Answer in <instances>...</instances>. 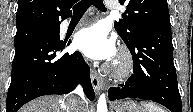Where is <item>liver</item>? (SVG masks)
<instances>
[{
  "mask_svg": "<svg viewBox=\"0 0 193 112\" xmlns=\"http://www.w3.org/2000/svg\"><path fill=\"white\" fill-rule=\"evenodd\" d=\"M84 103L85 110L89 112V102L84 100ZM19 112H70L69 99L64 102L54 95L39 97L22 107Z\"/></svg>",
  "mask_w": 193,
  "mask_h": 112,
  "instance_id": "1",
  "label": "liver"
}]
</instances>
